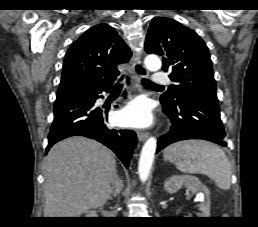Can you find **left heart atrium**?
Returning a JSON list of instances; mask_svg holds the SVG:
<instances>
[{"label":"left heart atrium","mask_w":258,"mask_h":227,"mask_svg":"<svg viewBox=\"0 0 258 227\" xmlns=\"http://www.w3.org/2000/svg\"><path fill=\"white\" fill-rule=\"evenodd\" d=\"M116 120L123 126H147L152 121L150 105L142 99L134 100L117 114Z\"/></svg>","instance_id":"1"}]
</instances>
